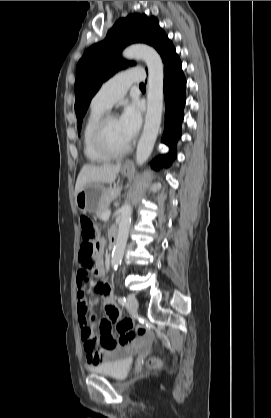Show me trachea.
Listing matches in <instances>:
<instances>
[{
    "instance_id": "3493384b",
    "label": "trachea",
    "mask_w": 271,
    "mask_h": 418,
    "mask_svg": "<svg viewBox=\"0 0 271 418\" xmlns=\"http://www.w3.org/2000/svg\"><path fill=\"white\" fill-rule=\"evenodd\" d=\"M140 88H145V85L143 83H141Z\"/></svg>"
}]
</instances>
